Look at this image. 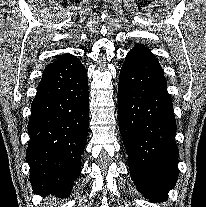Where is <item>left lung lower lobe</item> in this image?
Returning a JSON list of instances; mask_svg holds the SVG:
<instances>
[{
    "instance_id": "1",
    "label": "left lung lower lobe",
    "mask_w": 206,
    "mask_h": 207,
    "mask_svg": "<svg viewBox=\"0 0 206 207\" xmlns=\"http://www.w3.org/2000/svg\"><path fill=\"white\" fill-rule=\"evenodd\" d=\"M118 114L137 189L152 201L166 199L178 177L176 121L163 70L141 45L128 52L121 68Z\"/></svg>"
}]
</instances>
